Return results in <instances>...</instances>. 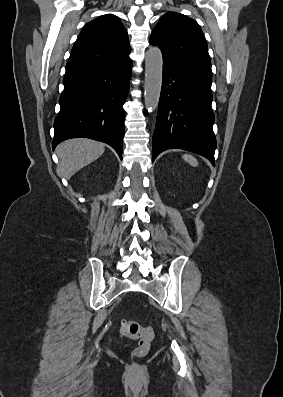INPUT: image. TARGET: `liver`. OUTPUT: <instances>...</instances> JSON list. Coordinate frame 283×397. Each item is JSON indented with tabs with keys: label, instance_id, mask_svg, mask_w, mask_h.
<instances>
[{
	"label": "liver",
	"instance_id": "liver-1",
	"mask_svg": "<svg viewBox=\"0 0 283 397\" xmlns=\"http://www.w3.org/2000/svg\"><path fill=\"white\" fill-rule=\"evenodd\" d=\"M105 151V144L86 138L70 139L57 147L60 174L69 179L76 172L98 159Z\"/></svg>",
	"mask_w": 283,
	"mask_h": 397
}]
</instances>
